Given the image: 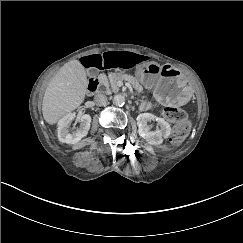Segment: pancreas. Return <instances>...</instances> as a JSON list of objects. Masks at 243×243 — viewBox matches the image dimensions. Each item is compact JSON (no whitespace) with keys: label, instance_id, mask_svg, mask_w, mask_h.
<instances>
[{"label":"pancreas","instance_id":"pancreas-1","mask_svg":"<svg viewBox=\"0 0 243 243\" xmlns=\"http://www.w3.org/2000/svg\"><path fill=\"white\" fill-rule=\"evenodd\" d=\"M122 79H128V82L132 81L133 88L138 92V93H144V89L142 85L137 83V80L133 75L130 74H120V73H110V74H105L104 77H101L102 82H105L106 86H111V89L113 92L118 91V85L117 83L121 81Z\"/></svg>","mask_w":243,"mask_h":243}]
</instances>
